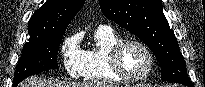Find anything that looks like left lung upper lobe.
<instances>
[{"label": "left lung upper lobe", "instance_id": "left-lung-upper-lobe-1", "mask_svg": "<svg viewBox=\"0 0 205 87\" xmlns=\"http://www.w3.org/2000/svg\"><path fill=\"white\" fill-rule=\"evenodd\" d=\"M102 13L142 39L161 66L163 81L193 87L178 42L159 0H99Z\"/></svg>", "mask_w": 205, "mask_h": 87}]
</instances>
